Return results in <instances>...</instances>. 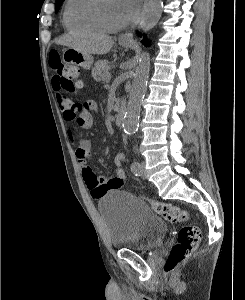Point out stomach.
Masks as SVG:
<instances>
[{"label": "stomach", "instance_id": "1", "mask_svg": "<svg viewBox=\"0 0 245 300\" xmlns=\"http://www.w3.org/2000/svg\"><path fill=\"white\" fill-rule=\"evenodd\" d=\"M123 47H129L130 43H121ZM63 60L67 64L84 69H90L93 64V57L90 54L80 52L74 48H67L63 52Z\"/></svg>", "mask_w": 245, "mask_h": 300}]
</instances>
